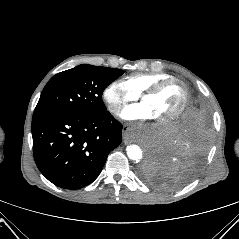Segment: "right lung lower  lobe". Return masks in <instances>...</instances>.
Masks as SVG:
<instances>
[{
	"mask_svg": "<svg viewBox=\"0 0 239 239\" xmlns=\"http://www.w3.org/2000/svg\"><path fill=\"white\" fill-rule=\"evenodd\" d=\"M121 132V123L109 111L96 115L34 114L36 165L53 184L65 189L82 188L98 177L108 154L121 143Z\"/></svg>",
	"mask_w": 239,
	"mask_h": 239,
	"instance_id": "right-lung-lower-lobe-1",
	"label": "right lung lower lobe"
}]
</instances>
